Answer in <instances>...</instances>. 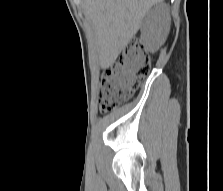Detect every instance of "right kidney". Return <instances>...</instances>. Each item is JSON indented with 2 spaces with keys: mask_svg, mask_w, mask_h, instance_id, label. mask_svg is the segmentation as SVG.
<instances>
[{
  "mask_svg": "<svg viewBox=\"0 0 223 191\" xmlns=\"http://www.w3.org/2000/svg\"><path fill=\"white\" fill-rule=\"evenodd\" d=\"M169 29V15L166 4L157 5L150 11L142 25V42L150 51L155 52L164 42Z\"/></svg>",
  "mask_w": 223,
  "mask_h": 191,
  "instance_id": "obj_1",
  "label": "right kidney"
}]
</instances>
